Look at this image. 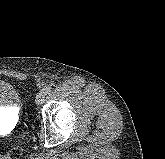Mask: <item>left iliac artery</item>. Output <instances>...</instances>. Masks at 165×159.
<instances>
[{
	"mask_svg": "<svg viewBox=\"0 0 165 159\" xmlns=\"http://www.w3.org/2000/svg\"><path fill=\"white\" fill-rule=\"evenodd\" d=\"M51 89H52V85H47L42 90L47 94L51 91Z\"/></svg>",
	"mask_w": 165,
	"mask_h": 159,
	"instance_id": "obj_1",
	"label": "left iliac artery"
}]
</instances>
